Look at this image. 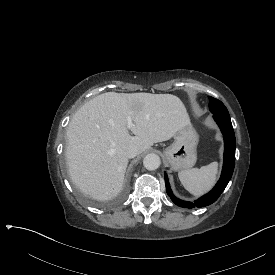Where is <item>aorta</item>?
<instances>
[{"label":"aorta","instance_id":"1","mask_svg":"<svg viewBox=\"0 0 275 275\" xmlns=\"http://www.w3.org/2000/svg\"><path fill=\"white\" fill-rule=\"evenodd\" d=\"M144 167L147 170H155L160 164V157L154 153L147 154L143 160Z\"/></svg>","mask_w":275,"mask_h":275}]
</instances>
